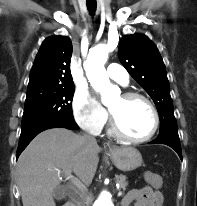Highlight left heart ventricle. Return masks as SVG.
Returning a JSON list of instances; mask_svg holds the SVG:
<instances>
[{"label":"left heart ventricle","mask_w":197,"mask_h":206,"mask_svg":"<svg viewBox=\"0 0 197 206\" xmlns=\"http://www.w3.org/2000/svg\"><path fill=\"white\" fill-rule=\"evenodd\" d=\"M110 111L124 132L133 137L146 136L153 127V114L142 100L118 96L109 104Z\"/></svg>","instance_id":"left-heart-ventricle-1"}]
</instances>
